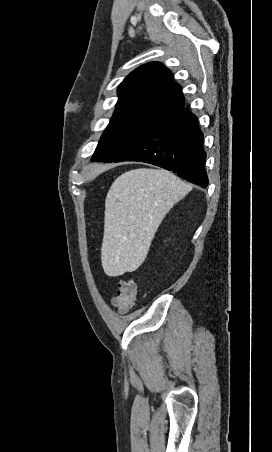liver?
I'll return each instance as SVG.
<instances>
[{
    "label": "liver",
    "mask_w": 272,
    "mask_h": 452,
    "mask_svg": "<svg viewBox=\"0 0 272 452\" xmlns=\"http://www.w3.org/2000/svg\"><path fill=\"white\" fill-rule=\"evenodd\" d=\"M191 189L164 169H133L115 179L105 200V274L116 277L138 269L162 220Z\"/></svg>",
    "instance_id": "obj_1"
}]
</instances>
